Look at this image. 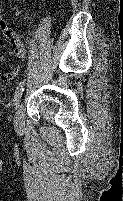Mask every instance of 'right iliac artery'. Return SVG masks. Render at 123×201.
I'll use <instances>...</instances> for the list:
<instances>
[{
    "label": "right iliac artery",
    "instance_id": "right-iliac-artery-1",
    "mask_svg": "<svg viewBox=\"0 0 123 201\" xmlns=\"http://www.w3.org/2000/svg\"><path fill=\"white\" fill-rule=\"evenodd\" d=\"M23 91H24V81H21L16 88V92L14 96V105L16 106V108L19 105Z\"/></svg>",
    "mask_w": 123,
    "mask_h": 201
}]
</instances>
